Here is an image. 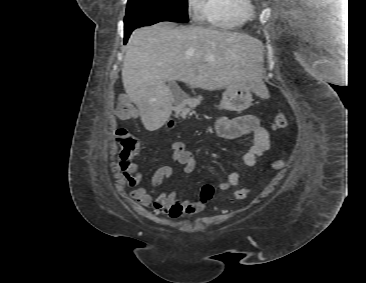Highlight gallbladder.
I'll return each instance as SVG.
<instances>
[{
  "label": "gallbladder",
  "mask_w": 366,
  "mask_h": 283,
  "mask_svg": "<svg viewBox=\"0 0 366 283\" xmlns=\"http://www.w3.org/2000/svg\"><path fill=\"white\" fill-rule=\"evenodd\" d=\"M169 87L175 100V104H178L182 99V93L180 88L173 82H169Z\"/></svg>",
  "instance_id": "gallbladder-1"
}]
</instances>
